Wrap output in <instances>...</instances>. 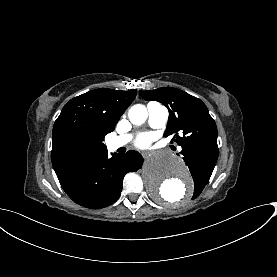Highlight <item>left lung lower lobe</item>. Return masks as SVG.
Listing matches in <instances>:
<instances>
[{"label": "left lung lower lobe", "mask_w": 277, "mask_h": 277, "mask_svg": "<svg viewBox=\"0 0 277 277\" xmlns=\"http://www.w3.org/2000/svg\"><path fill=\"white\" fill-rule=\"evenodd\" d=\"M193 176L199 173H212L218 158L216 142L207 141L194 146L183 147L180 152Z\"/></svg>", "instance_id": "0a47b994"}]
</instances>
